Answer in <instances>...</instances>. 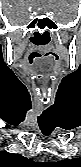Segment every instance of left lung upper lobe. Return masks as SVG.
I'll return each instance as SVG.
<instances>
[{"label": "left lung upper lobe", "instance_id": "obj_1", "mask_svg": "<svg viewBox=\"0 0 81 167\" xmlns=\"http://www.w3.org/2000/svg\"><path fill=\"white\" fill-rule=\"evenodd\" d=\"M78 160L79 158H74L72 160L65 159L62 161L50 163V166L51 167H73L77 163Z\"/></svg>", "mask_w": 81, "mask_h": 167}]
</instances>
